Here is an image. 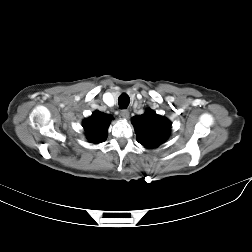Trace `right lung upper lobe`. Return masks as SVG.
Returning <instances> with one entry per match:
<instances>
[{"mask_svg":"<svg viewBox=\"0 0 252 252\" xmlns=\"http://www.w3.org/2000/svg\"><path fill=\"white\" fill-rule=\"evenodd\" d=\"M113 117L111 115L95 111L92 116L83 121V128L87 133V139L91 143H101L107 138V130Z\"/></svg>","mask_w":252,"mask_h":252,"instance_id":"obj_1","label":"right lung upper lobe"}]
</instances>
